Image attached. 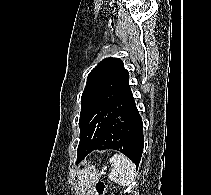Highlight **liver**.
<instances>
[{
	"mask_svg": "<svg viewBox=\"0 0 211 195\" xmlns=\"http://www.w3.org/2000/svg\"><path fill=\"white\" fill-rule=\"evenodd\" d=\"M82 174H83V172H82L81 175H80V179H82Z\"/></svg>",
	"mask_w": 211,
	"mask_h": 195,
	"instance_id": "1",
	"label": "liver"
}]
</instances>
